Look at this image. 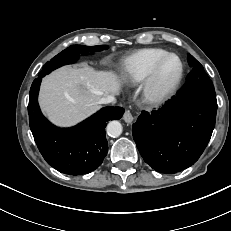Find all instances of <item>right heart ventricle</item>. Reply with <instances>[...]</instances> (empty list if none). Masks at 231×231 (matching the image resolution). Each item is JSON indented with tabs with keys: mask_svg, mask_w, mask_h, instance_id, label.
I'll return each mask as SVG.
<instances>
[{
	"mask_svg": "<svg viewBox=\"0 0 231 231\" xmlns=\"http://www.w3.org/2000/svg\"><path fill=\"white\" fill-rule=\"evenodd\" d=\"M168 53L162 48H143L126 57L120 73L128 83L137 85L145 81L157 61Z\"/></svg>",
	"mask_w": 231,
	"mask_h": 231,
	"instance_id": "obj_1",
	"label": "right heart ventricle"
}]
</instances>
